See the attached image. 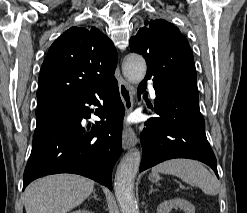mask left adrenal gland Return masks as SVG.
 Returning <instances> with one entry per match:
<instances>
[{
	"instance_id": "a2214340",
	"label": "left adrenal gland",
	"mask_w": 247,
	"mask_h": 213,
	"mask_svg": "<svg viewBox=\"0 0 247 213\" xmlns=\"http://www.w3.org/2000/svg\"><path fill=\"white\" fill-rule=\"evenodd\" d=\"M155 191H157V189H153V186L151 185V186H150L149 194H151L152 192H155Z\"/></svg>"
}]
</instances>
